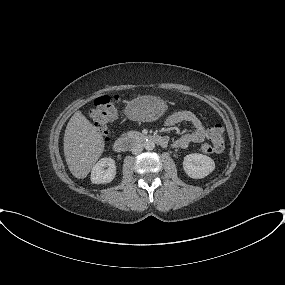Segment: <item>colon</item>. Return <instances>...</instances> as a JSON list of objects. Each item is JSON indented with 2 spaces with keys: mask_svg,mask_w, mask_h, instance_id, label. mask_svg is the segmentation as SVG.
I'll return each instance as SVG.
<instances>
[{
  "mask_svg": "<svg viewBox=\"0 0 285 285\" xmlns=\"http://www.w3.org/2000/svg\"><path fill=\"white\" fill-rule=\"evenodd\" d=\"M117 96H101L96 98L90 106V116L95 128L102 133L106 139L108 127L118 115L116 102ZM209 143L202 146V151L207 154L221 152L224 148L225 134L221 125H214L208 130Z\"/></svg>",
  "mask_w": 285,
  "mask_h": 285,
  "instance_id": "obj_1",
  "label": "colon"
}]
</instances>
